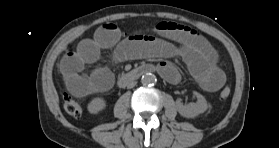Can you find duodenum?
<instances>
[{"label": "duodenum", "mask_w": 279, "mask_h": 148, "mask_svg": "<svg viewBox=\"0 0 279 148\" xmlns=\"http://www.w3.org/2000/svg\"><path fill=\"white\" fill-rule=\"evenodd\" d=\"M154 71H155V66L151 65V64H144V65L138 66V67L132 69L131 71L123 74L118 80V85L120 87H123L126 84H128L129 82L137 80L140 77H142L143 75L154 72Z\"/></svg>", "instance_id": "410a0bca"}]
</instances>
